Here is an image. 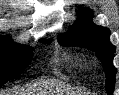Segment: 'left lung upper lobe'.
Segmentation results:
<instances>
[{"label": "left lung upper lobe", "mask_w": 119, "mask_h": 95, "mask_svg": "<svg viewBox=\"0 0 119 95\" xmlns=\"http://www.w3.org/2000/svg\"><path fill=\"white\" fill-rule=\"evenodd\" d=\"M92 11L83 8L78 12V20L70 27L69 32L60 34L58 40L66 46H82L93 50L102 62L106 73V91L113 94L116 68L113 66L115 47L110 43V31L91 22Z\"/></svg>", "instance_id": "5c2ea615"}]
</instances>
